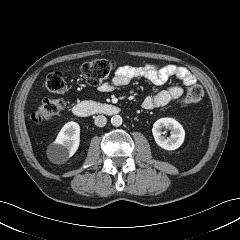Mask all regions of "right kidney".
I'll use <instances>...</instances> for the list:
<instances>
[{
  "label": "right kidney",
  "mask_w": 240,
  "mask_h": 240,
  "mask_svg": "<svg viewBox=\"0 0 240 240\" xmlns=\"http://www.w3.org/2000/svg\"><path fill=\"white\" fill-rule=\"evenodd\" d=\"M80 144V126L77 122L66 123L49 147L51 159L60 164L75 154Z\"/></svg>",
  "instance_id": "ca27d5eb"
}]
</instances>
